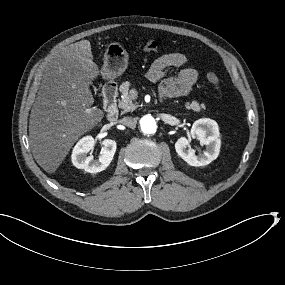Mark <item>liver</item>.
I'll return each mask as SVG.
<instances>
[{
  "mask_svg": "<svg viewBox=\"0 0 285 285\" xmlns=\"http://www.w3.org/2000/svg\"><path fill=\"white\" fill-rule=\"evenodd\" d=\"M101 73L89 40L62 47L50 58L29 118L30 149L48 174H55L76 141L103 120L105 112L90 107V86Z\"/></svg>",
  "mask_w": 285,
  "mask_h": 285,
  "instance_id": "1",
  "label": "liver"
}]
</instances>
